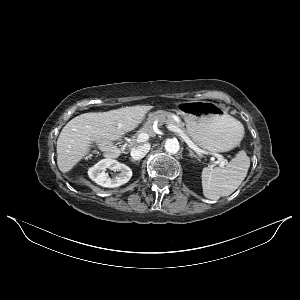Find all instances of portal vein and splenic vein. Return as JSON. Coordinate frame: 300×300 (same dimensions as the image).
I'll use <instances>...</instances> for the list:
<instances>
[{
    "label": "portal vein and splenic vein",
    "mask_w": 300,
    "mask_h": 300,
    "mask_svg": "<svg viewBox=\"0 0 300 300\" xmlns=\"http://www.w3.org/2000/svg\"><path fill=\"white\" fill-rule=\"evenodd\" d=\"M167 128L172 131L175 132L177 134H179L181 136V138L185 141V143L191 148L193 149L197 154L202 155V154H211L213 156H215L218 160H219V165L221 167H223L225 165V160L223 158L222 155L215 153V152H206L205 150L200 149L197 145H195L193 143V141L177 126L175 125H168ZM149 139V135L147 133H141L138 135L136 141L138 143H143L148 141Z\"/></svg>",
    "instance_id": "18ae733b"
}]
</instances>
